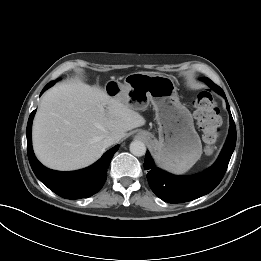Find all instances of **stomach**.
Returning <instances> with one entry per match:
<instances>
[{"instance_id":"1","label":"stomach","mask_w":261,"mask_h":261,"mask_svg":"<svg viewBox=\"0 0 261 261\" xmlns=\"http://www.w3.org/2000/svg\"><path fill=\"white\" fill-rule=\"evenodd\" d=\"M176 90L170 77L143 72L129 74L124 84L111 80L105 85L109 96L120 99L133 110L153 105L159 138L147 131H139V135L150 142L154 157L163 168L184 173L200 158L202 144L192 114L181 104Z\"/></svg>"}]
</instances>
